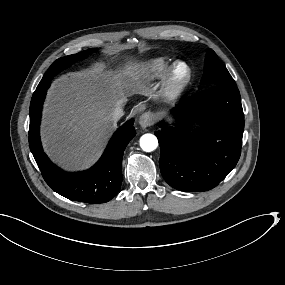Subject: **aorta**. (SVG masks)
<instances>
[{"instance_id":"aorta-1","label":"aorta","mask_w":285,"mask_h":285,"mask_svg":"<svg viewBox=\"0 0 285 285\" xmlns=\"http://www.w3.org/2000/svg\"><path fill=\"white\" fill-rule=\"evenodd\" d=\"M140 147L145 152H152L158 147V140L152 134H145L140 139Z\"/></svg>"}]
</instances>
